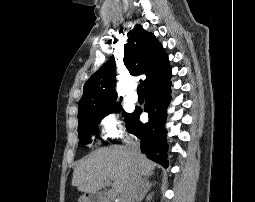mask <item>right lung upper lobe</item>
<instances>
[{
  "label": "right lung upper lobe",
  "instance_id": "right-lung-upper-lobe-1",
  "mask_svg": "<svg viewBox=\"0 0 255 202\" xmlns=\"http://www.w3.org/2000/svg\"><path fill=\"white\" fill-rule=\"evenodd\" d=\"M123 60L131 75H146L144 92L171 78V67L162 45L154 34L145 31L139 24L128 33ZM115 77V61L109 60L85 83L78 115L118 103Z\"/></svg>",
  "mask_w": 255,
  "mask_h": 202
}]
</instances>
